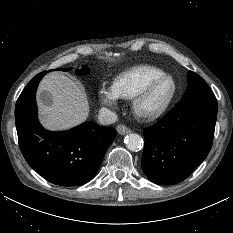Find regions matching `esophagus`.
<instances>
[{
	"mask_svg": "<svg viewBox=\"0 0 233 233\" xmlns=\"http://www.w3.org/2000/svg\"><path fill=\"white\" fill-rule=\"evenodd\" d=\"M117 131L121 135H125V134H128L131 132V130L128 127H126L125 125H122V124H119L117 126Z\"/></svg>",
	"mask_w": 233,
	"mask_h": 233,
	"instance_id": "esophagus-1",
	"label": "esophagus"
}]
</instances>
